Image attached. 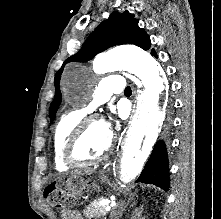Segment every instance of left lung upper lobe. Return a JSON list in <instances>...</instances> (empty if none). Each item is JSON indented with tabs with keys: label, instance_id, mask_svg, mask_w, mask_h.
Segmentation results:
<instances>
[{
	"label": "left lung upper lobe",
	"instance_id": "1",
	"mask_svg": "<svg viewBox=\"0 0 221 219\" xmlns=\"http://www.w3.org/2000/svg\"><path fill=\"white\" fill-rule=\"evenodd\" d=\"M121 44H134L144 50H148L151 41L147 33L138 26V20L134 15L125 11L123 13L113 12L109 18L100 25L87 38L82 48L73 56L69 57L55 75V97L50 105L51 121L61 103L60 78L64 65L68 62H86L96 54Z\"/></svg>",
	"mask_w": 221,
	"mask_h": 219
}]
</instances>
